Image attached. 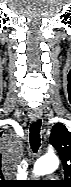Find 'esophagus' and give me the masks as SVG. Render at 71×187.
Instances as JSON below:
<instances>
[{"mask_svg":"<svg viewBox=\"0 0 71 187\" xmlns=\"http://www.w3.org/2000/svg\"><path fill=\"white\" fill-rule=\"evenodd\" d=\"M42 111L40 109H35L30 113V118L32 121H37L42 117Z\"/></svg>","mask_w":71,"mask_h":187,"instance_id":"34e87169","label":"esophagus"}]
</instances>
